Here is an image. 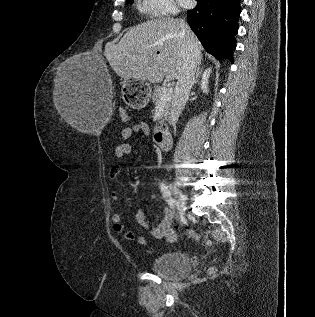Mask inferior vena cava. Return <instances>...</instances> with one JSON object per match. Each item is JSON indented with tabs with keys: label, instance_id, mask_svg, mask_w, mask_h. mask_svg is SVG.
I'll list each match as a JSON object with an SVG mask.
<instances>
[{
	"label": "inferior vena cava",
	"instance_id": "1",
	"mask_svg": "<svg viewBox=\"0 0 315 317\" xmlns=\"http://www.w3.org/2000/svg\"><path fill=\"white\" fill-rule=\"evenodd\" d=\"M182 55L183 67L181 74L177 78L170 112V122L172 125L176 124L186 100L189 97L200 58L199 55L194 52L193 46L189 41L183 44Z\"/></svg>",
	"mask_w": 315,
	"mask_h": 317
}]
</instances>
